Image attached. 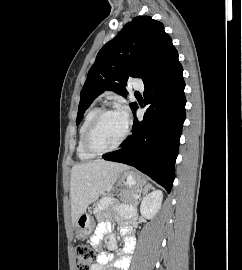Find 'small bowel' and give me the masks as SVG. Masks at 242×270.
Instances as JSON below:
<instances>
[{
  "label": "small bowel",
  "mask_w": 242,
  "mask_h": 270,
  "mask_svg": "<svg viewBox=\"0 0 242 270\" xmlns=\"http://www.w3.org/2000/svg\"><path fill=\"white\" fill-rule=\"evenodd\" d=\"M116 217L123 221L121 229V235L124 239V248L120 254V258L116 259L113 255L106 254L102 250L101 242L105 237L106 247L113 251L117 248V240L112 233V222L111 220H103L99 223L95 234L91 238V245L97 253V262L93 265L91 270H126L129 266V254L134 249V239L131 235V229L129 221L133 216L132 211L124 206H116Z\"/></svg>",
  "instance_id": "1"
}]
</instances>
